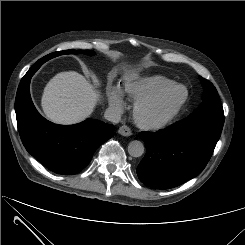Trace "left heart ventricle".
Returning <instances> with one entry per match:
<instances>
[{
	"label": "left heart ventricle",
	"instance_id": "1",
	"mask_svg": "<svg viewBox=\"0 0 245 245\" xmlns=\"http://www.w3.org/2000/svg\"><path fill=\"white\" fill-rule=\"evenodd\" d=\"M180 96L181 91L176 90L172 92L162 102L150 107L146 112V117L151 120L163 117L174 108Z\"/></svg>",
	"mask_w": 245,
	"mask_h": 245
}]
</instances>
